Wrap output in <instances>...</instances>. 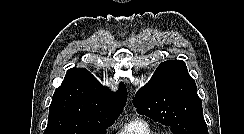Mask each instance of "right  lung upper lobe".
I'll use <instances>...</instances> for the list:
<instances>
[{"mask_svg": "<svg viewBox=\"0 0 244 134\" xmlns=\"http://www.w3.org/2000/svg\"><path fill=\"white\" fill-rule=\"evenodd\" d=\"M127 100V90L120 83L112 93L87 70L71 68L53 95L49 111L86 118L111 117L121 114Z\"/></svg>", "mask_w": 244, "mask_h": 134, "instance_id": "cb5924a9", "label": "right lung upper lobe"}]
</instances>
